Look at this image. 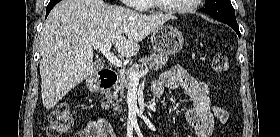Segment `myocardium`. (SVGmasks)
Masks as SVG:
<instances>
[{
	"label": "myocardium",
	"mask_w": 280,
	"mask_h": 137,
	"mask_svg": "<svg viewBox=\"0 0 280 137\" xmlns=\"http://www.w3.org/2000/svg\"><path fill=\"white\" fill-rule=\"evenodd\" d=\"M156 8L160 11H163V12H166V13H169V14H186V13H189L191 11H193L198 3L200 2V0H190V3L187 4L186 6H182V7H178V8H170V7H166L162 4H160L159 0H151Z\"/></svg>",
	"instance_id": "1"
}]
</instances>
